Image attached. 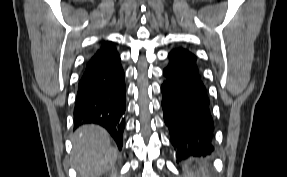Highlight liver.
<instances>
[{
    "label": "liver",
    "instance_id": "liver-1",
    "mask_svg": "<svg viewBox=\"0 0 287 177\" xmlns=\"http://www.w3.org/2000/svg\"><path fill=\"white\" fill-rule=\"evenodd\" d=\"M72 158L79 177H99L113 168L117 149L111 146L106 130L84 125L75 132Z\"/></svg>",
    "mask_w": 287,
    "mask_h": 177
}]
</instances>
